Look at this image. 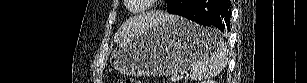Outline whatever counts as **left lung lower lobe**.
<instances>
[{
	"label": "left lung lower lobe",
	"instance_id": "obj_1",
	"mask_svg": "<svg viewBox=\"0 0 307 83\" xmlns=\"http://www.w3.org/2000/svg\"><path fill=\"white\" fill-rule=\"evenodd\" d=\"M168 12L195 21L213 25L228 34L230 31L231 2L229 0H173Z\"/></svg>",
	"mask_w": 307,
	"mask_h": 83
}]
</instances>
